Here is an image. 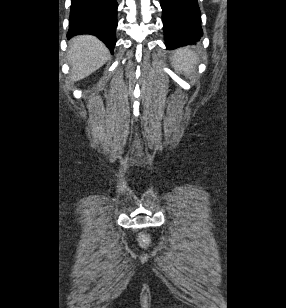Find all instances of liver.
<instances>
[{
  "instance_id": "1",
  "label": "liver",
  "mask_w": 286,
  "mask_h": 308,
  "mask_svg": "<svg viewBox=\"0 0 286 308\" xmlns=\"http://www.w3.org/2000/svg\"><path fill=\"white\" fill-rule=\"evenodd\" d=\"M68 62L71 65V81L88 77L110 58L105 45L96 37L80 35L69 42Z\"/></svg>"
}]
</instances>
